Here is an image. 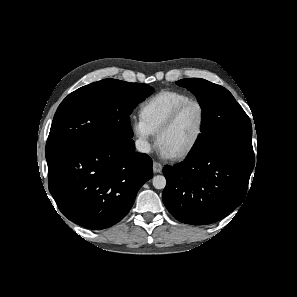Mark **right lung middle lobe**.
Masks as SVG:
<instances>
[{
  "instance_id": "obj_1",
  "label": "right lung middle lobe",
  "mask_w": 297,
  "mask_h": 297,
  "mask_svg": "<svg viewBox=\"0 0 297 297\" xmlns=\"http://www.w3.org/2000/svg\"><path fill=\"white\" fill-rule=\"evenodd\" d=\"M142 83L104 79L69 94L59 105L46 143V160L84 144L133 137L129 114L151 95Z\"/></svg>"
}]
</instances>
